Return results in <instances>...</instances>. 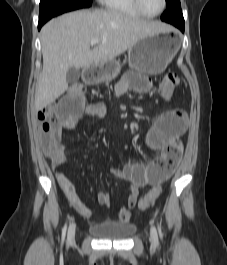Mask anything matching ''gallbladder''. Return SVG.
<instances>
[{"label": "gallbladder", "mask_w": 227, "mask_h": 265, "mask_svg": "<svg viewBox=\"0 0 227 265\" xmlns=\"http://www.w3.org/2000/svg\"><path fill=\"white\" fill-rule=\"evenodd\" d=\"M80 78V69L77 68H70L67 73V82L69 84H73L77 82Z\"/></svg>", "instance_id": "obj_1"}]
</instances>
